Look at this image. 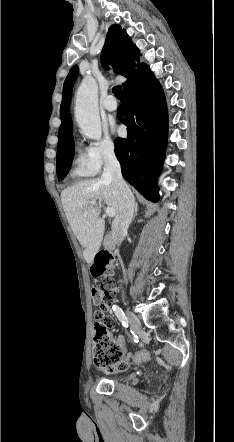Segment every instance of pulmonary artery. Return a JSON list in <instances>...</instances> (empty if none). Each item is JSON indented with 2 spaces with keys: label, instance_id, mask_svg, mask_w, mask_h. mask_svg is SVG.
Listing matches in <instances>:
<instances>
[{
  "label": "pulmonary artery",
  "instance_id": "pulmonary-artery-1",
  "mask_svg": "<svg viewBox=\"0 0 234 442\" xmlns=\"http://www.w3.org/2000/svg\"><path fill=\"white\" fill-rule=\"evenodd\" d=\"M103 107L107 111L112 112V111H115L117 109L118 104H117L116 100L114 99V97L112 95H109L103 101Z\"/></svg>",
  "mask_w": 234,
  "mask_h": 442
}]
</instances>
